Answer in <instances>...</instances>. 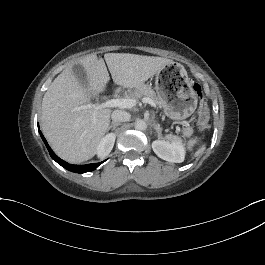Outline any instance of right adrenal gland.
Returning a JSON list of instances; mask_svg holds the SVG:
<instances>
[{"label": "right adrenal gland", "instance_id": "right-adrenal-gland-1", "mask_svg": "<svg viewBox=\"0 0 265 265\" xmlns=\"http://www.w3.org/2000/svg\"><path fill=\"white\" fill-rule=\"evenodd\" d=\"M119 125H120V123L112 122L111 125L109 126V130L112 129V131H113V130H115Z\"/></svg>", "mask_w": 265, "mask_h": 265}]
</instances>
